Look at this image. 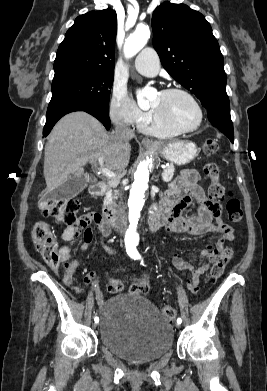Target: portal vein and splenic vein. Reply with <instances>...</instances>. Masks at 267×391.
Returning a JSON list of instances; mask_svg holds the SVG:
<instances>
[{
    "instance_id": "portal-vein-and-splenic-vein-1",
    "label": "portal vein and splenic vein",
    "mask_w": 267,
    "mask_h": 391,
    "mask_svg": "<svg viewBox=\"0 0 267 391\" xmlns=\"http://www.w3.org/2000/svg\"><path fill=\"white\" fill-rule=\"evenodd\" d=\"M103 159H104V156H101V157L99 158V162L102 163V162H103ZM161 167H162L163 169L166 168V166H164V165H162ZM98 171H99V173H101V174H103L104 176L109 177V178H115V177H117V174H116L115 172H112V171L108 170L107 168L100 167V168H98Z\"/></svg>"
}]
</instances>
